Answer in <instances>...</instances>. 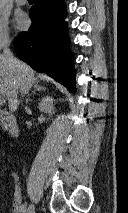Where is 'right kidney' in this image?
Here are the masks:
<instances>
[{"label":"right kidney","mask_w":128,"mask_h":213,"mask_svg":"<svg viewBox=\"0 0 128 213\" xmlns=\"http://www.w3.org/2000/svg\"><path fill=\"white\" fill-rule=\"evenodd\" d=\"M54 100L50 96L43 97L38 105L41 112L53 114L54 113Z\"/></svg>","instance_id":"right-kidney-1"}]
</instances>
